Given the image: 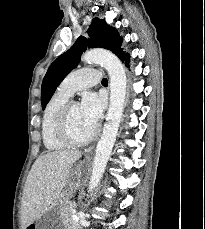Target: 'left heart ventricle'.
I'll use <instances>...</instances> for the list:
<instances>
[{"label":"left heart ventricle","instance_id":"left-heart-ventricle-1","mask_svg":"<svg viewBox=\"0 0 205 229\" xmlns=\"http://www.w3.org/2000/svg\"><path fill=\"white\" fill-rule=\"evenodd\" d=\"M91 124L83 115L80 105L72 107L69 116V129L71 135L76 139L86 138L94 129Z\"/></svg>","mask_w":205,"mask_h":229}]
</instances>
